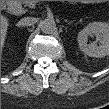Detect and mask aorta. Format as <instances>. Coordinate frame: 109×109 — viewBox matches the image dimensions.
Here are the masks:
<instances>
[{
    "label": "aorta",
    "instance_id": "obj_1",
    "mask_svg": "<svg viewBox=\"0 0 109 109\" xmlns=\"http://www.w3.org/2000/svg\"><path fill=\"white\" fill-rule=\"evenodd\" d=\"M39 27L45 34H51L56 30V23L53 19H44L40 22Z\"/></svg>",
    "mask_w": 109,
    "mask_h": 109
}]
</instances>
